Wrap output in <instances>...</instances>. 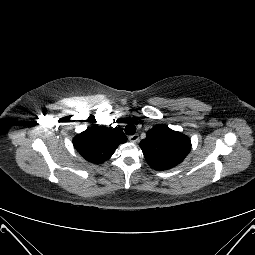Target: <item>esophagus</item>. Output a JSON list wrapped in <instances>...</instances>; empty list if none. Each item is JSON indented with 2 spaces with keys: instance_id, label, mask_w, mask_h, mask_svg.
<instances>
[{
  "instance_id": "obj_1",
  "label": "esophagus",
  "mask_w": 255,
  "mask_h": 255,
  "mask_svg": "<svg viewBox=\"0 0 255 255\" xmlns=\"http://www.w3.org/2000/svg\"><path fill=\"white\" fill-rule=\"evenodd\" d=\"M128 139H129L131 142L136 143V142L139 141V135H138V134L131 135V136H129Z\"/></svg>"
}]
</instances>
